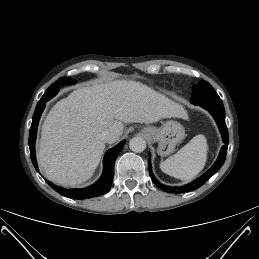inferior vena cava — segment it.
Here are the masks:
<instances>
[{"label": "inferior vena cava", "mask_w": 259, "mask_h": 259, "mask_svg": "<svg viewBox=\"0 0 259 259\" xmlns=\"http://www.w3.org/2000/svg\"><path fill=\"white\" fill-rule=\"evenodd\" d=\"M98 138L100 139V140H103V141H105V142H107L108 140H109V138H110V132L109 131H103L102 133H100L99 135H98Z\"/></svg>", "instance_id": "obj_1"}]
</instances>
